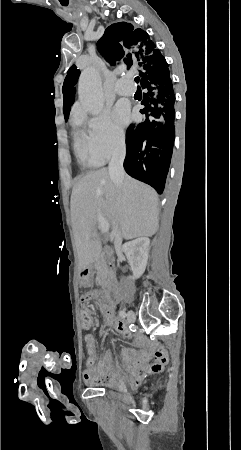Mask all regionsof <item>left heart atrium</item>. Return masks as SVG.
I'll use <instances>...</instances> for the list:
<instances>
[{"label":"left heart atrium","mask_w":241,"mask_h":450,"mask_svg":"<svg viewBox=\"0 0 241 450\" xmlns=\"http://www.w3.org/2000/svg\"><path fill=\"white\" fill-rule=\"evenodd\" d=\"M115 120L120 125H125L129 120V111L122 104H117L113 112Z\"/></svg>","instance_id":"obj_1"}]
</instances>
